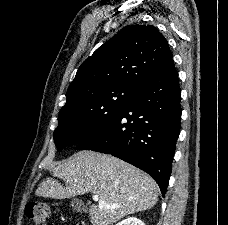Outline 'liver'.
Segmentation results:
<instances>
[{
	"mask_svg": "<svg viewBox=\"0 0 228 225\" xmlns=\"http://www.w3.org/2000/svg\"><path fill=\"white\" fill-rule=\"evenodd\" d=\"M54 179L39 185L35 195L50 199H71L83 193L98 195V205L89 209L92 225H113L123 217L152 209L158 201V187L147 173L136 167L94 151H79L67 163L51 169ZM108 205H117L111 209Z\"/></svg>",
	"mask_w": 228,
	"mask_h": 225,
	"instance_id": "liver-1",
	"label": "liver"
}]
</instances>
